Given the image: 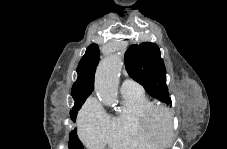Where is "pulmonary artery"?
<instances>
[{"label":"pulmonary artery","instance_id":"e3ab8cb5","mask_svg":"<svg viewBox=\"0 0 227 149\" xmlns=\"http://www.w3.org/2000/svg\"><path fill=\"white\" fill-rule=\"evenodd\" d=\"M137 91H142V87L134 82L131 79H124L121 84V92L126 93V92H137Z\"/></svg>","mask_w":227,"mask_h":149}]
</instances>
